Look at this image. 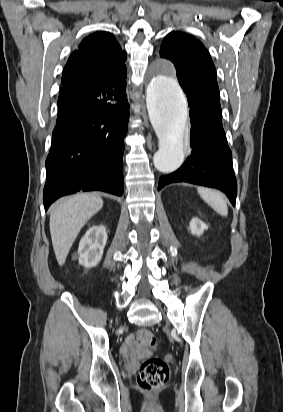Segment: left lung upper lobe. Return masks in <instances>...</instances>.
Wrapping results in <instances>:
<instances>
[{"label": "left lung upper lobe", "instance_id": "obj_1", "mask_svg": "<svg viewBox=\"0 0 283 412\" xmlns=\"http://www.w3.org/2000/svg\"><path fill=\"white\" fill-rule=\"evenodd\" d=\"M160 56L174 63L178 81L187 97L221 111L215 66L200 41L186 33L173 31L164 38Z\"/></svg>", "mask_w": 283, "mask_h": 412}]
</instances>
